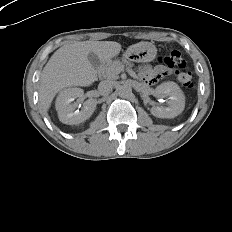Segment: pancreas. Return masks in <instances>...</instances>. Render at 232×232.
I'll return each mask as SVG.
<instances>
[{
  "mask_svg": "<svg viewBox=\"0 0 232 232\" xmlns=\"http://www.w3.org/2000/svg\"><path fill=\"white\" fill-rule=\"evenodd\" d=\"M126 66L132 67L133 64L127 60L108 62L102 67V74L106 78L114 79Z\"/></svg>",
  "mask_w": 232,
  "mask_h": 232,
  "instance_id": "1",
  "label": "pancreas"
}]
</instances>
